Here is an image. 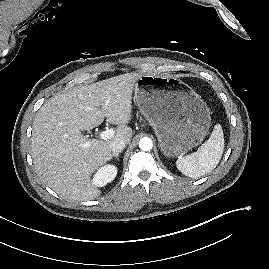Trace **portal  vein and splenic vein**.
<instances>
[{
  "instance_id": "18ae733b",
  "label": "portal vein and splenic vein",
  "mask_w": 269,
  "mask_h": 269,
  "mask_svg": "<svg viewBox=\"0 0 269 269\" xmlns=\"http://www.w3.org/2000/svg\"><path fill=\"white\" fill-rule=\"evenodd\" d=\"M115 131L113 129H107L99 134L100 139L107 140L114 136Z\"/></svg>"
}]
</instances>
